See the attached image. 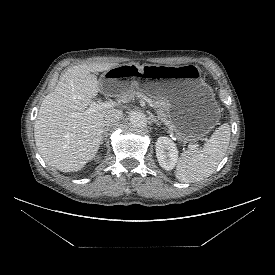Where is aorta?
Masks as SVG:
<instances>
[{
  "label": "aorta",
  "instance_id": "aorta-1",
  "mask_svg": "<svg viewBox=\"0 0 275 275\" xmlns=\"http://www.w3.org/2000/svg\"><path fill=\"white\" fill-rule=\"evenodd\" d=\"M130 123L137 128H143L147 124V118L141 111H134L130 114Z\"/></svg>",
  "mask_w": 275,
  "mask_h": 275
}]
</instances>
